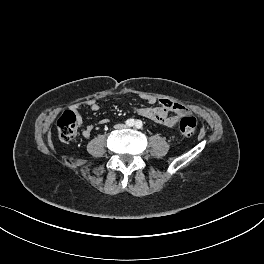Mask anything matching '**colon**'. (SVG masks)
Returning a JSON list of instances; mask_svg holds the SVG:
<instances>
[{"instance_id":"5ec220e1","label":"colon","mask_w":264,"mask_h":264,"mask_svg":"<svg viewBox=\"0 0 264 264\" xmlns=\"http://www.w3.org/2000/svg\"><path fill=\"white\" fill-rule=\"evenodd\" d=\"M196 119L184 116L179 122V131L185 137H191L196 130ZM58 135L61 141L70 142L77 135V115L73 111H65L57 121Z\"/></svg>"}]
</instances>
